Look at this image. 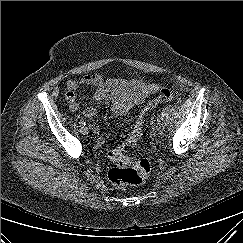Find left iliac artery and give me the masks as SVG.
<instances>
[{
	"instance_id": "obj_1",
	"label": "left iliac artery",
	"mask_w": 243,
	"mask_h": 243,
	"mask_svg": "<svg viewBox=\"0 0 243 243\" xmlns=\"http://www.w3.org/2000/svg\"><path fill=\"white\" fill-rule=\"evenodd\" d=\"M157 122H158V123H160V122H161L160 118H159V119H157Z\"/></svg>"
}]
</instances>
